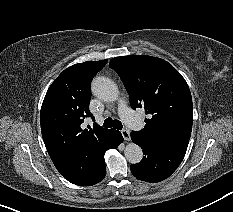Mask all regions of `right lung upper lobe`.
Returning <instances> with one entry per match:
<instances>
[{"label": "right lung upper lobe", "instance_id": "right-lung-upper-lobe-1", "mask_svg": "<svg viewBox=\"0 0 233 212\" xmlns=\"http://www.w3.org/2000/svg\"><path fill=\"white\" fill-rule=\"evenodd\" d=\"M106 60L87 61L65 69L44 98L40 123L46 149L57 170L71 183L89 175L111 129L97 124L82 128L89 111L90 84Z\"/></svg>", "mask_w": 233, "mask_h": 212}]
</instances>
